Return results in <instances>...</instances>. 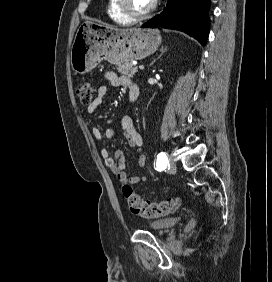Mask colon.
I'll return each mask as SVG.
<instances>
[{
    "label": "colon",
    "mask_w": 272,
    "mask_h": 282,
    "mask_svg": "<svg viewBox=\"0 0 272 282\" xmlns=\"http://www.w3.org/2000/svg\"><path fill=\"white\" fill-rule=\"evenodd\" d=\"M76 93L80 102L88 105L92 103L95 98L97 85L82 81L78 84ZM121 193L130 212L143 218H159L168 216L176 212L180 207L179 198L166 199L160 202L145 201L134 191L132 186L125 181L121 185Z\"/></svg>",
    "instance_id": "5ec220e1"
}]
</instances>
